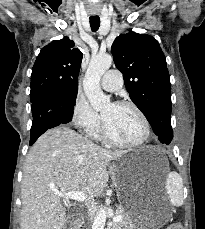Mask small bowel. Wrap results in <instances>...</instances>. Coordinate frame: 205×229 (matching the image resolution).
<instances>
[{"mask_svg": "<svg viewBox=\"0 0 205 229\" xmlns=\"http://www.w3.org/2000/svg\"><path fill=\"white\" fill-rule=\"evenodd\" d=\"M166 229H181V226L179 224H173V225L167 227Z\"/></svg>", "mask_w": 205, "mask_h": 229, "instance_id": "1", "label": "small bowel"}]
</instances>
